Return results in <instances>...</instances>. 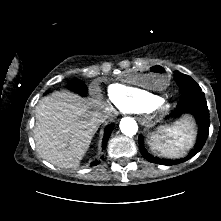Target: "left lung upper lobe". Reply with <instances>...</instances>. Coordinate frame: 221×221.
<instances>
[{
    "label": "left lung upper lobe",
    "instance_id": "obj_1",
    "mask_svg": "<svg viewBox=\"0 0 221 221\" xmlns=\"http://www.w3.org/2000/svg\"><path fill=\"white\" fill-rule=\"evenodd\" d=\"M175 80L182 96L201 92L200 86L188 75L175 71Z\"/></svg>",
    "mask_w": 221,
    "mask_h": 221
}]
</instances>
